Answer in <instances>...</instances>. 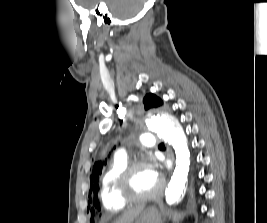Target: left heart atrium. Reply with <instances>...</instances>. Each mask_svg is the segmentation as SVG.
<instances>
[{
	"label": "left heart atrium",
	"mask_w": 267,
	"mask_h": 223,
	"mask_svg": "<svg viewBox=\"0 0 267 223\" xmlns=\"http://www.w3.org/2000/svg\"><path fill=\"white\" fill-rule=\"evenodd\" d=\"M153 174H154V176H155L156 178H158V174H157L156 171H153Z\"/></svg>",
	"instance_id": "1"
}]
</instances>
